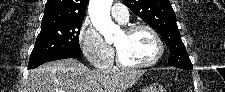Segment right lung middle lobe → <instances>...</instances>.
<instances>
[{
  "label": "right lung middle lobe",
  "mask_w": 225,
  "mask_h": 92,
  "mask_svg": "<svg viewBox=\"0 0 225 92\" xmlns=\"http://www.w3.org/2000/svg\"><path fill=\"white\" fill-rule=\"evenodd\" d=\"M83 22L45 23L37 36L30 60L67 51H81L79 33Z\"/></svg>",
  "instance_id": "dd1d6c3e"
}]
</instances>
